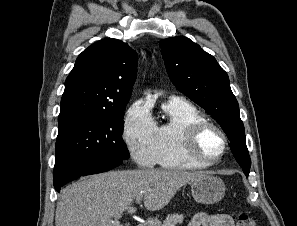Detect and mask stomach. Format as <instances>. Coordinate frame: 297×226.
Listing matches in <instances>:
<instances>
[{
    "instance_id": "0dacf381",
    "label": "stomach",
    "mask_w": 297,
    "mask_h": 226,
    "mask_svg": "<svg viewBox=\"0 0 297 226\" xmlns=\"http://www.w3.org/2000/svg\"><path fill=\"white\" fill-rule=\"evenodd\" d=\"M194 200L201 204H214L219 202L225 194V184L219 177L206 175L190 183ZM150 226H160L158 220H153Z\"/></svg>"
}]
</instances>
